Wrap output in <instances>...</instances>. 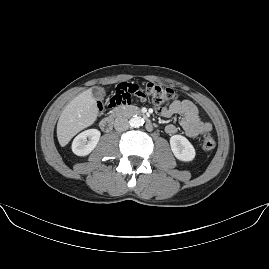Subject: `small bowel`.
Masks as SVG:
<instances>
[{
	"label": "small bowel",
	"mask_w": 269,
	"mask_h": 269,
	"mask_svg": "<svg viewBox=\"0 0 269 269\" xmlns=\"http://www.w3.org/2000/svg\"><path fill=\"white\" fill-rule=\"evenodd\" d=\"M163 117L181 116L180 126L190 138L202 136L211 131V124L202 121L198 108L190 100H175L160 110ZM168 134H175L177 127L173 124L166 126Z\"/></svg>",
	"instance_id": "c3829d8e"
}]
</instances>
